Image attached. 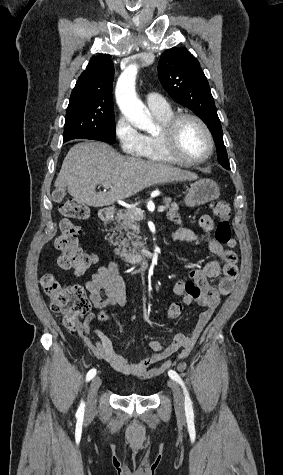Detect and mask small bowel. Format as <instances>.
Returning a JSON list of instances; mask_svg holds the SVG:
<instances>
[{"mask_svg":"<svg viewBox=\"0 0 283 475\" xmlns=\"http://www.w3.org/2000/svg\"><path fill=\"white\" fill-rule=\"evenodd\" d=\"M212 226V218L209 215H202L198 220L199 231L184 227L175 233L174 238L186 243H197L202 234L209 232ZM234 244L231 240H226L225 245L211 240L209 250L213 255V259L203 268L192 269L189 272L190 278L199 279V282H202V294L198 296V302L196 303L204 308L189 334L177 333L172 342L166 347L157 339L150 340L149 346L152 353L136 362H132L115 352L111 339L104 332L99 329H91V323L103 325L106 314H102L101 318H95L94 320L86 318L78 330L79 337L97 359L105 361L116 372L127 377L150 379L162 371V367L149 371L148 369L153 365L165 361L163 367H167L171 364L168 359L174 355L175 360L189 357L222 299L233 291L238 274V256L229 248L233 247ZM217 277H220L218 284L211 286L209 280ZM183 282L184 280L181 279L173 287V291L177 296L182 293ZM86 290L90 302L96 309H103L111 305L121 307L127 305L126 281L120 274L117 262H110L99 267L86 284ZM91 332L95 338L90 337Z\"/></svg>","mask_w":283,"mask_h":475,"instance_id":"small-bowel-1","label":"small bowel"}]
</instances>
